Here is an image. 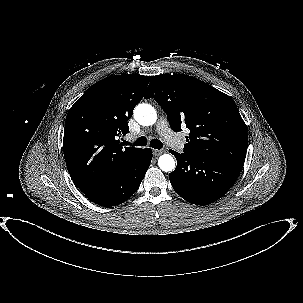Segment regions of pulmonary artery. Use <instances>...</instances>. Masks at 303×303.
Instances as JSON below:
<instances>
[{"mask_svg": "<svg viewBox=\"0 0 303 303\" xmlns=\"http://www.w3.org/2000/svg\"><path fill=\"white\" fill-rule=\"evenodd\" d=\"M156 129L169 146L178 150L184 147V142L172 131L166 119L159 120Z\"/></svg>", "mask_w": 303, "mask_h": 303, "instance_id": "e3ab8cb5", "label": "pulmonary artery"}]
</instances>
